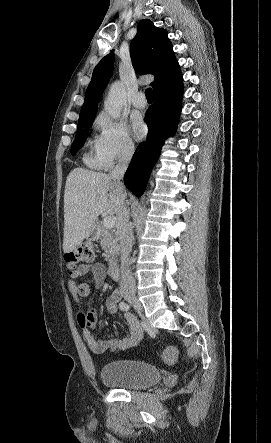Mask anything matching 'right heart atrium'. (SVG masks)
Here are the masks:
<instances>
[{
    "label": "right heart atrium",
    "mask_w": 271,
    "mask_h": 443,
    "mask_svg": "<svg viewBox=\"0 0 271 443\" xmlns=\"http://www.w3.org/2000/svg\"><path fill=\"white\" fill-rule=\"evenodd\" d=\"M93 126L99 131L94 152L104 166H110L134 152L135 143L124 122L113 120L105 111H100L94 118Z\"/></svg>",
    "instance_id": "obj_1"
}]
</instances>
